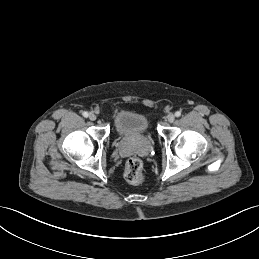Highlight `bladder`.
Instances as JSON below:
<instances>
[{"mask_svg": "<svg viewBox=\"0 0 259 259\" xmlns=\"http://www.w3.org/2000/svg\"><path fill=\"white\" fill-rule=\"evenodd\" d=\"M149 119L140 113L123 111L114 118V128L121 136L132 137L150 130Z\"/></svg>", "mask_w": 259, "mask_h": 259, "instance_id": "bladder-1", "label": "bladder"}]
</instances>
